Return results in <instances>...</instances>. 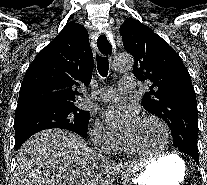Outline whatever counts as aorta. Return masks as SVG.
<instances>
[{
	"label": "aorta",
	"instance_id": "762f6f07",
	"mask_svg": "<svg viewBox=\"0 0 207 185\" xmlns=\"http://www.w3.org/2000/svg\"><path fill=\"white\" fill-rule=\"evenodd\" d=\"M134 59L130 54L122 53L113 60V67L120 72H127L133 68Z\"/></svg>",
	"mask_w": 207,
	"mask_h": 185
}]
</instances>
